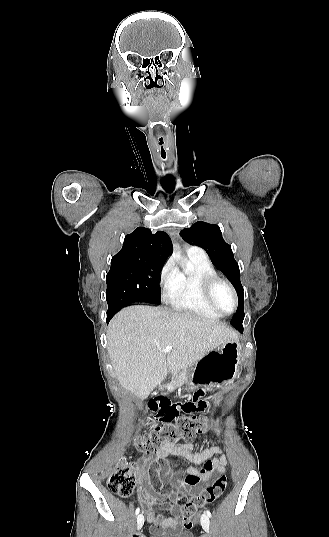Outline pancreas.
Returning <instances> with one entry per match:
<instances>
[{
	"mask_svg": "<svg viewBox=\"0 0 329 537\" xmlns=\"http://www.w3.org/2000/svg\"><path fill=\"white\" fill-rule=\"evenodd\" d=\"M190 370L189 369H183L175 374H173L172 376V381H171V385L173 387L175 386H179V385H182V383L188 379V377L190 376Z\"/></svg>",
	"mask_w": 329,
	"mask_h": 537,
	"instance_id": "pancreas-1",
	"label": "pancreas"
}]
</instances>
